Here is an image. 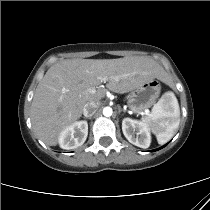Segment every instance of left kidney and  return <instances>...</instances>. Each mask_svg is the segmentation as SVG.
I'll return each mask as SVG.
<instances>
[{
  "mask_svg": "<svg viewBox=\"0 0 210 210\" xmlns=\"http://www.w3.org/2000/svg\"><path fill=\"white\" fill-rule=\"evenodd\" d=\"M122 131L126 139L133 145L140 148H148L150 146V132L142 122L124 118L122 121Z\"/></svg>",
  "mask_w": 210,
  "mask_h": 210,
  "instance_id": "obj_1",
  "label": "left kidney"
}]
</instances>
